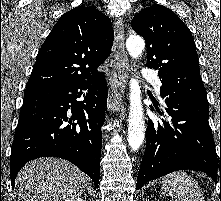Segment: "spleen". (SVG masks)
I'll return each mask as SVG.
<instances>
[{
  "label": "spleen",
  "instance_id": "spleen-1",
  "mask_svg": "<svg viewBox=\"0 0 221 201\" xmlns=\"http://www.w3.org/2000/svg\"><path fill=\"white\" fill-rule=\"evenodd\" d=\"M162 191L175 201H204L198 183L184 171L166 175L162 180Z\"/></svg>",
  "mask_w": 221,
  "mask_h": 201
}]
</instances>
